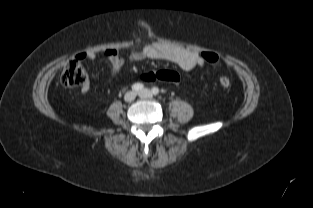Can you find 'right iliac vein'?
Wrapping results in <instances>:
<instances>
[{"instance_id":"obj_1","label":"right iliac vein","mask_w":313,"mask_h":208,"mask_svg":"<svg viewBox=\"0 0 313 208\" xmlns=\"http://www.w3.org/2000/svg\"><path fill=\"white\" fill-rule=\"evenodd\" d=\"M135 97H136L135 92L130 91V92H127V93L125 94L124 100H125L126 102H132V101L135 99Z\"/></svg>"}]
</instances>
